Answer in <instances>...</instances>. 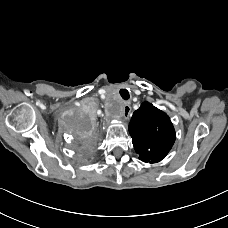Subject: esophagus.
Masks as SVG:
<instances>
[{
    "mask_svg": "<svg viewBox=\"0 0 228 228\" xmlns=\"http://www.w3.org/2000/svg\"><path fill=\"white\" fill-rule=\"evenodd\" d=\"M123 114L127 118L131 116V106L128 103H126L123 107Z\"/></svg>",
    "mask_w": 228,
    "mask_h": 228,
    "instance_id": "34e87169",
    "label": "esophagus"
}]
</instances>
